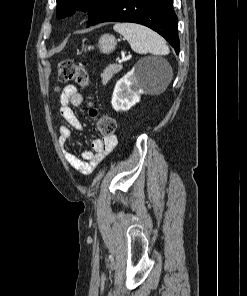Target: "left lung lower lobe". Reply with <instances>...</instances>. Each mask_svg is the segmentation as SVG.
<instances>
[{"label":"left lung lower lobe","mask_w":247,"mask_h":296,"mask_svg":"<svg viewBox=\"0 0 247 296\" xmlns=\"http://www.w3.org/2000/svg\"><path fill=\"white\" fill-rule=\"evenodd\" d=\"M102 22H133L145 25L162 35L178 54L177 16L172 0H107L88 23L92 26Z\"/></svg>","instance_id":"0a47b994"}]
</instances>
